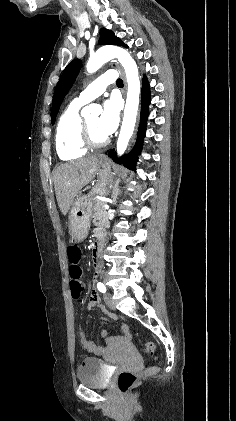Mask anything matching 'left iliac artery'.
Listing matches in <instances>:
<instances>
[{
  "label": "left iliac artery",
  "instance_id": "left-iliac-artery-1",
  "mask_svg": "<svg viewBox=\"0 0 236 421\" xmlns=\"http://www.w3.org/2000/svg\"><path fill=\"white\" fill-rule=\"evenodd\" d=\"M97 288H98V290H99L100 292H102V293H105V292H106V287H105V285H104L103 283H101V282H99V283L97 284Z\"/></svg>",
  "mask_w": 236,
  "mask_h": 421
}]
</instances>
